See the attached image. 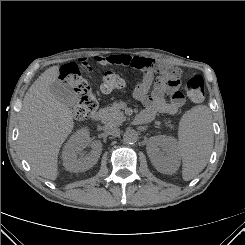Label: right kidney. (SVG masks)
I'll use <instances>...</instances> for the list:
<instances>
[{
	"label": "right kidney",
	"mask_w": 245,
	"mask_h": 245,
	"mask_svg": "<svg viewBox=\"0 0 245 245\" xmlns=\"http://www.w3.org/2000/svg\"><path fill=\"white\" fill-rule=\"evenodd\" d=\"M90 143V134L86 128L74 133L67 141L62 152L63 165L70 172H84L95 165L102 152L99 140L91 142L92 150L83 154V148Z\"/></svg>",
	"instance_id": "obj_1"
}]
</instances>
